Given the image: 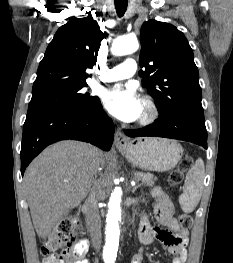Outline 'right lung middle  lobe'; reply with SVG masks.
<instances>
[{"instance_id": "obj_1", "label": "right lung middle lobe", "mask_w": 233, "mask_h": 263, "mask_svg": "<svg viewBox=\"0 0 233 263\" xmlns=\"http://www.w3.org/2000/svg\"><path fill=\"white\" fill-rule=\"evenodd\" d=\"M86 86L87 84H83L32 96L27 118L56 111H72L92 105L98 97H90L89 93H83L81 90Z\"/></svg>"}]
</instances>
